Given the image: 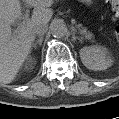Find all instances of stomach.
I'll return each mask as SVG.
<instances>
[{"label":"stomach","mask_w":119,"mask_h":119,"mask_svg":"<svg viewBox=\"0 0 119 119\" xmlns=\"http://www.w3.org/2000/svg\"><path fill=\"white\" fill-rule=\"evenodd\" d=\"M80 2L85 3L89 6H91L93 4V0H80Z\"/></svg>","instance_id":"1"}]
</instances>
